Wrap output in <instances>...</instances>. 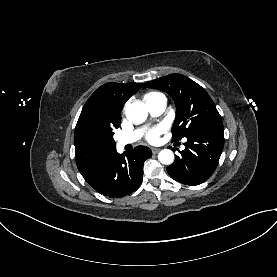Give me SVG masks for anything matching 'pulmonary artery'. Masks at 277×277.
Listing matches in <instances>:
<instances>
[{"label":"pulmonary artery","mask_w":277,"mask_h":277,"mask_svg":"<svg viewBox=\"0 0 277 277\" xmlns=\"http://www.w3.org/2000/svg\"><path fill=\"white\" fill-rule=\"evenodd\" d=\"M147 108L152 116L161 115L166 108V99L164 96H156L146 101ZM141 137V131L137 130L130 135L121 137L117 141V145L123 148L127 144L137 141Z\"/></svg>","instance_id":"obj_1"}]
</instances>
